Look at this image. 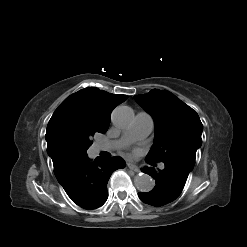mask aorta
Instances as JSON below:
<instances>
[{"mask_svg":"<svg viewBox=\"0 0 247 247\" xmlns=\"http://www.w3.org/2000/svg\"><path fill=\"white\" fill-rule=\"evenodd\" d=\"M134 118L132 109L128 106H118L113 110L112 121L120 128L128 127ZM134 184L141 192H149L154 188V180L148 174H139L135 176Z\"/></svg>","mask_w":247,"mask_h":247,"instance_id":"aorta-1","label":"aorta"}]
</instances>
